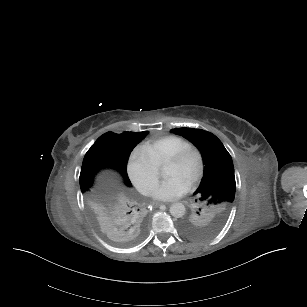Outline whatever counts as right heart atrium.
I'll use <instances>...</instances> for the list:
<instances>
[{
	"label": "right heart atrium",
	"mask_w": 307,
	"mask_h": 307,
	"mask_svg": "<svg viewBox=\"0 0 307 307\" xmlns=\"http://www.w3.org/2000/svg\"><path fill=\"white\" fill-rule=\"evenodd\" d=\"M126 167L132 184L147 193L157 175L156 156L147 151L144 143H137L129 151Z\"/></svg>",
	"instance_id": "obj_1"
}]
</instances>
